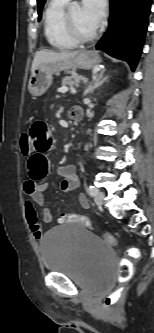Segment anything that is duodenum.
<instances>
[{
	"label": "duodenum",
	"instance_id": "410a0bca",
	"mask_svg": "<svg viewBox=\"0 0 154 333\" xmlns=\"http://www.w3.org/2000/svg\"><path fill=\"white\" fill-rule=\"evenodd\" d=\"M71 118L72 120L75 122V123H78L80 122L82 119H83V116H84V111L82 108L80 107H74L72 110H71Z\"/></svg>",
	"mask_w": 154,
	"mask_h": 333
}]
</instances>
